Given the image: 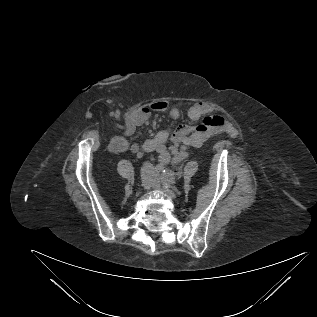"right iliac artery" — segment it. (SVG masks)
<instances>
[{"label":"right iliac artery","instance_id":"right-iliac-artery-1","mask_svg":"<svg viewBox=\"0 0 317 317\" xmlns=\"http://www.w3.org/2000/svg\"><path fill=\"white\" fill-rule=\"evenodd\" d=\"M156 169L159 170V171L163 170L164 169V164L160 163V164L156 165Z\"/></svg>","mask_w":317,"mask_h":317}]
</instances>
